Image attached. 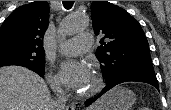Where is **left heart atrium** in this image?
I'll return each instance as SVG.
<instances>
[{
    "instance_id": "1",
    "label": "left heart atrium",
    "mask_w": 171,
    "mask_h": 110,
    "mask_svg": "<svg viewBox=\"0 0 171 110\" xmlns=\"http://www.w3.org/2000/svg\"><path fill=\"white\" fill-rule=\"evenodd\" d=\"M90 75L88 65L83 62L68 60L60 66L61 80L69 89L76 92L83 88Z\"/></svg>"
}]
</instances>
